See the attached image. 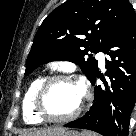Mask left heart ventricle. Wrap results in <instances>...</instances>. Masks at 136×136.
I'll use <instances>...</instances> for the list:
<instances>
[{"label":"left heart ventricle","mask_w":136,"mask_h":136,"mask_svg":"<svg viewBox=\"0 0 136 136\" xmlns=\"http://www.w3.org/2000/svg\"><path fill=\"white\" fill-rule=\"evenodd\" d=\"M81 97L77 84L58 81L53 83L47 91L44 101L45 109L52 116L64 117L78 107Z\"/></svg>","instance_id":"b2bd125f"}]
</instances>
